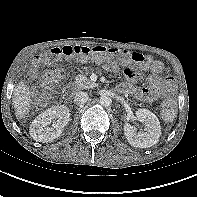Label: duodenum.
I'll use <instances>...</instances> for the list:
<instances>
[{
	"label": "duodenum",
	"mask_w": 197,
	"mask_h": 197,
	"mask_svg": "<svg viewBox=\"0 0 197 197\" xmlns=\"http://www.w3.org/2000/svg\"><path fill=\"white\" fill-rule=\"evenodd\" d=\"M118 90L121 91V92H123V90L120 87L118 88Z\"/></svg>",
	"instance_id": "1"
}]
</instances>
